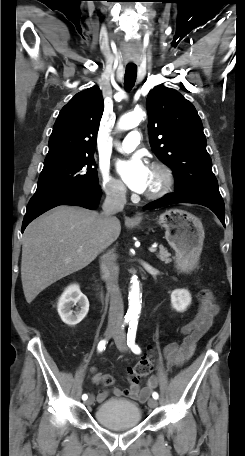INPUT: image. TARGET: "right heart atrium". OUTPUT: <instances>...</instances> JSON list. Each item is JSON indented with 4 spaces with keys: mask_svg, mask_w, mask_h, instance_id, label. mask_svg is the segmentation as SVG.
Segmentation results:
<instances>
[{
    "mask_svg": "<svg viewBox=\"0 0 245 456\" xmlns=\"http://www.w3.org/2000/svg\"><path fill=\"white\" fill-rule=\"evenodd\" d=\"M101 183L106 195L114 200H123L126 197V189L122 182L113 178L107 171H101Z\"/></svg>",
    "mask_w": 245,
    "mask_h": 456,
    "instance_id": "d8ad5b80",
    "label": "right heart atrium"
}]
</instances>
